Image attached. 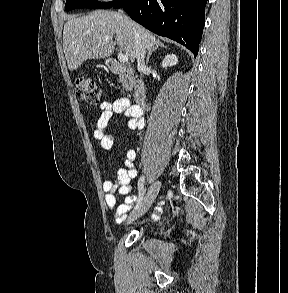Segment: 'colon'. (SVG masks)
Masks as SVG:
<instances>
[{
	"label": "colon",
	"instance_id": "1",
	"mask_svg": "<svg viewBox=\"0 0 288 293\" xmlns=\"http://www.w3.org/2000/svg\"><path fill=\"white\" fill-rule=\"evenodd\" d=\"M77 96L90 104H98L102 96V88L90 77H81L75 84Z\"/></svg>",
	"mask_w": 288,
	"mask_h": 293
}]
</instances>
